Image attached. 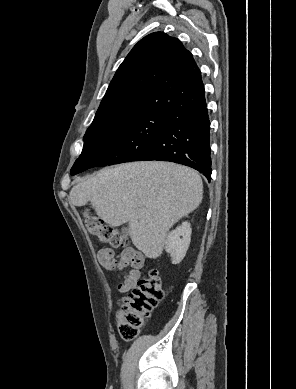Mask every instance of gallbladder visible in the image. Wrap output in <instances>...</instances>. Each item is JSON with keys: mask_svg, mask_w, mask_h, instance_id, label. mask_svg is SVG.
I'll return each instance as SVG.
<instances>
[{"mask_svg": "<svg viewBox=\"0 0 296 389\" xmlns=\"http://www.w3.org/2000/svg\"><path fill=\"white\" fill-rule=\"evenodd\" d=\"M122 233H123V235H127L128 229H127V228H123V229H122Z\"/></svg>", "mask_w": 296, "mask_h": 389, "instance_id": "obj_1", "label": "gallbladder"}]
</instances>
